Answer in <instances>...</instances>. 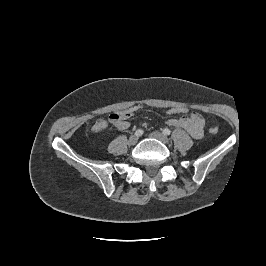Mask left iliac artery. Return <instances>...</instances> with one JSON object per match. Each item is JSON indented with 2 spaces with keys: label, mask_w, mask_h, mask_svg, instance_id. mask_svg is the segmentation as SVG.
Segmentation results:
<instances>
[{
  "label": "left iliac artery",
  "mask_w": 266,
  "mask_h": 266,
  "mask_svg": "<svg viewBox=\"0 0 266 266\" xmlns=\"http://www.w3.org/2000/svg\"><path fill=\"white\" fill-rule=\"evenodd\" d=\"M163 133L165 135H170L171 134V131L168 128H165V129H163Z\"/></svg>",
  "instance_id": "44dca946"
}]
</instances>
